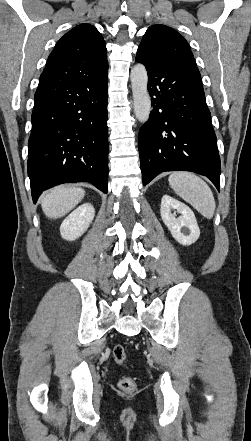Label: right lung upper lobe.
<instances>
[{"label": "right lung upper lobe", "instance_id": "obj_1", "mask_svg": "<svg viewBox=\"0 0 251 441\" xmlns=\"http://www.w3.org/2000/svg\"><path fill=\"white\" fill-rule=\"evenodd\" d=\"M108 68L106 43L90 24H80L67 32L49 55L40 81L77 79Z\"/></svg>", "mask_w": 251, "mask_h": 441}]
</instances>
